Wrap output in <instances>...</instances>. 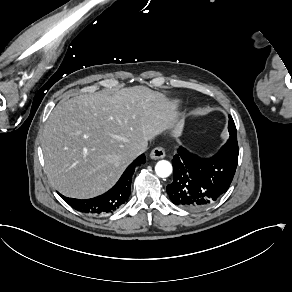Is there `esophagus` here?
Returning a JSON list of instances; mask_svg holds the SVG:
<instances>
[{"label": "esophagus", "instance_id": "1", "mask_svg": "<svg viewBox=\"0 0 292 292\" xmlns=\"http://www.w3.org/2000/svg\"><path fill=\"white\" fill-rule=\"evenodd\" d=\"M149 157L152 160H157L165 157V151L161 147H155L151 152Z\"/></svg>", "mask_w": 292, "mask_h": 292}]
</instances>
